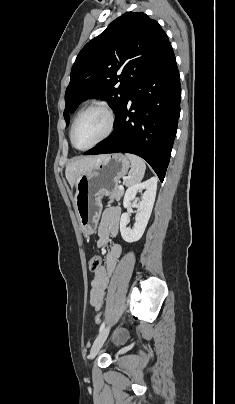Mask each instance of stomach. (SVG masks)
<instances>
[{"label": "stomach", "instance_id": "1", "mask_svg": "<svg viewBox=\"0 0 235 404\" xmlns=\"http://www.w3.org/2000/svg\"><path fill=\"white\" fill-rule=\"evenodd\" d=\"M129 167L130 162L123 154H108L76 179L74 206L84 235H91L96 231L102 211V197L111 194L119 180L127 174Z\"/></svg>", "mask_w": 235, "mask_h": 404}]
</instances>
